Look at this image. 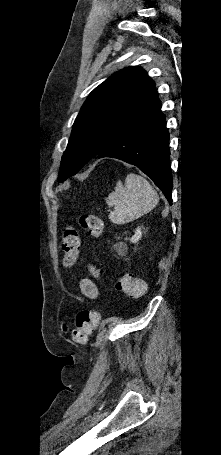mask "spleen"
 <instances>
[{"instance_id": "1", "label": "spleen", "mask_w": 221, "mask_h": 455, "mask_svg": "<svg viewBox=\"0 0 221 455\" xmlns=\"http://www.w3.org/2000/svg\"><path fill=\"white\" fill-rule=\"evenodd\" d=\"M109 207L114 206L109 219L117 225L134 221L150 212L158 203L157 192L150 183L140 175L130 173L125 184L116 183L114 191L105 198Z\"/></svg>"}]
</instances>
